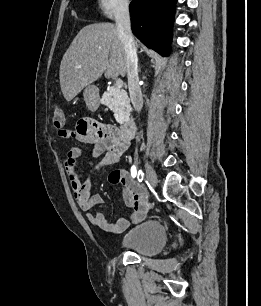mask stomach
<instances>
[{
    "label": "stomach",
    "instance_id": "1",
    "mask_svg": "<svg viewBox=\"0 0 261 306\" xmlns=\"http://www.w3.org/2000/svg\"><path fill=\"white\" fill-rule=\"evenodd\" d=\"M86 106L91 111H96L100 105L99 89L94 85H88L83 91Z\"/></svg>",
    "mask_w": 261,
    "mask_h": 306
}]
</instances>
